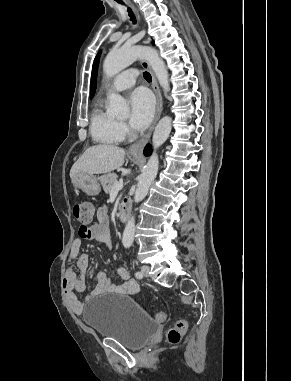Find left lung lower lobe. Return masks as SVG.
<instances>
[{
	"instance_id": "obj_1",
	"label": "left lung lower lobe",
	"mask_w": 291,
	"mask_h": 381,
	"mask_svg": "<svg viewBox=\"0 0 291 381\" xmlns=\"http://www.w3.org/2000/svg\"><path fill=\"white\" fill-rule=\"evenodd\" d=\"M144 154H145L146 156H149V155L151 154V148H150L149 145H147V146L145 147V149H144Z\"/></svg>"
}]
</instances>
